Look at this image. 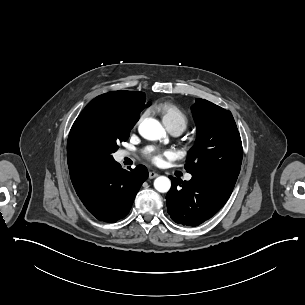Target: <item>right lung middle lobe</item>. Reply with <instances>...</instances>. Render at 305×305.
Here are the masks:
<instances>
[{"instance_id":"1","label":"right lung middle lobe","mask_w":305,"mask_h":305,"mask_svg":"<svg viewBox=\"0 0 305 305\" xmlns=\"http://www.w3.org/2000/svg\"><path fill=\"white\" fill-rule=\"evenodd\" d=\"M135 123H114L99 125L89 123L83 132V140L91 165L100 168L114 163L112 153L118 150V143L129 138Z\"/></svg>"}]
</instances>
